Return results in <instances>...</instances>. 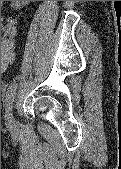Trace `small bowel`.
<instances>
[{"label":"small bowel","mask_w":121,"mask_h":169,"mask_svg":"<svg viewBox=\"0 0 121 169\" xmlns=\"http://www.w3.org/2000/svg\"><path fill=\"white\" fill-rule=\"evenodd\" d=\"M18 5H24L30 1H16ZM6 69H1L2 72H4Z\"/></svg>","instance_id":"c3829d8e"}]
</instances>
